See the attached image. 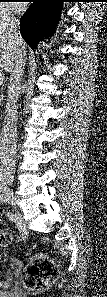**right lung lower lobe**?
<instances>
[{
  "instance_id": "1",
  "label": "right lung lower lobe",
  "mask_w": 107,
  "mask_h": 297,
  "mask_svg": "<svg viewBox=\"0 0 107 297\" xmlns=\"http://www.w3.org/2000/svg\"><path fill=\"white\" fill-rule=\"evenodd\" d=\"M64 1L33 0L32 6L21 17L20 32L32 49L44 35L48 36L53 31Z\"/></svg>"
}]
</instances>
